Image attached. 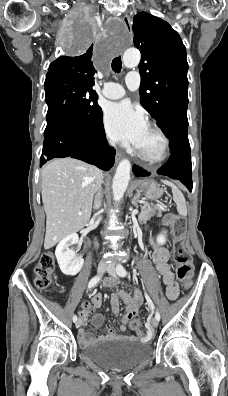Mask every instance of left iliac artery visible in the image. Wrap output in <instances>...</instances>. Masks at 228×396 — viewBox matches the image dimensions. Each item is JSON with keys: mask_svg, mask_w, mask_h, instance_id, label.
<instances>
[{"mask_svg": "<svg viewBox=\"0 0 228 396\" xmlns=\"http://www.w3.org/2000/svg\"><path fill=\"white\" fill-rule=\"evenodd\" d=\"M116 272L121 277H125L127 275L126 269L121 264L117 265ZM155 318L160 321V313L158 311H156Z\"/></svg>", "mask_w": 228, "mask_h": 396, "instance_id": "1", "label": "left iliac artery"}]
</instances>
